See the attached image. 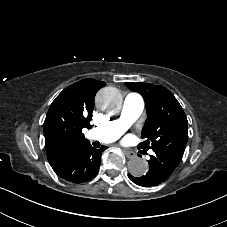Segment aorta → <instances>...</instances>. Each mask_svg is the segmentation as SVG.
Segmentation results:
<instances>
[{"label":"aorta","instance_id":"obj_1","mask_svg":"<svg viewBox=\"0 0 227 227\" xmlns=\"http://www.w3.org/2000/svg\"><path fill=\"white\" fill-rule=\"evenodd\" d=\"M96 104L103 110L115 112L122 105V96L114 87L101 89L96 96ZM129 173L135 177H141L148 171V163L140 157H133L128 162Z\"/></svg>","mask_w":227,"mask_h":227}]
</instances>
